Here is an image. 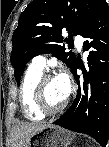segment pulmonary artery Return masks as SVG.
Segmentation results:
<instances>
[{
    "mask_svg": "<svg viewBox=\"0 0 109 147\" xmlns=\"http://www.w3.org/2000/svg\"><path fill=\"white\" fill-rule=\"evenodd\" d=\"M84 39L81 35H78L76 37V46L78 50L82 49ZM46 56L45 55H37L34 58H32L30 67L43 71L46 67Z\"/></svg>",
    "mask_w": 109,
    "mask_h": 147,
    "instance_id": "e3ab8cb5",
    "label": "pulmonary artery"
}]
</instances>
